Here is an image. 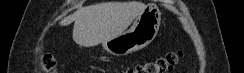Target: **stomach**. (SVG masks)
I'll return each instance as SVG.
<instances>
[{
	"label": "stomach",
	"mask_w": 244,
	"mask_h": 73,
	"mask_svg": "<svg viewBox=\"0 0 244 73\" xmlns=\"http://www.w3.org/2000/svg\"><path fill=\"white\" fill-rule=\"evenodd\" d=\"M161 23L157 5H146L132 27L102 43L103 48L115 56H123L148 46L156 37Z\"/></svg>",
	"instance_id": "0dacf381"
}]
</instances>
